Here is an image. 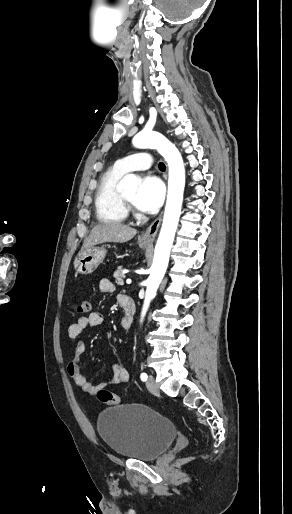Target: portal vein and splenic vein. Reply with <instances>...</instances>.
<instances>
[{
    "instance_id": "1",
    "label": "portal vein and splenic vein",
    "mask_w": 292,
    "mask_h": 514,
    "mask_svg": "<svg viewBox=\"0 0 292 514\" xmlns=\"http://www.w3.org/2000/svg\"><path fill=\"white\" fill-rule=\"evenodd\" d=\"M132 280H126V284H131Z\"/></svg>"
}]
</instances>
